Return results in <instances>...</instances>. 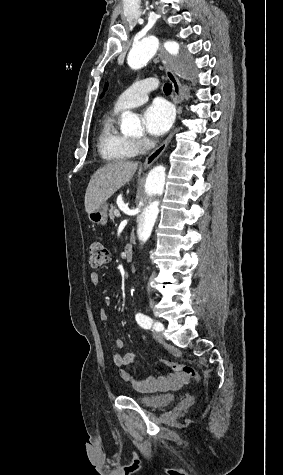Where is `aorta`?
Wrapping results in <instances>:
<instances>
[{
  "instance_id": "aorta-1",
  "label": "aorta",
  "mask_w": 283,
  "mask_h": 475,
  "mask_svg": "<svg viewBox=\"0 0 283 475\" xmlns=\"http://www.w3.org/2000/svg\"><path fill=\"white\" fill-rule=\"evenodd\" d=\"M159 40L155 36H148L134 44L128 54L127 61L131 68L139 69L156 54ZM166 50L178 58V62L187 66L186 59L179 54V45L176 42H166ZM121 131L126 135H134L142 131L138 116L126 111L122 114ZM171 169L164 165L155 166L137 186L133 222L135 232L141 249L150 239L157 226L163 209L168 188L171 184ZM162 218V217H161Z\"/></svg>"
}]
</instances>
